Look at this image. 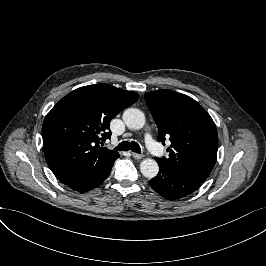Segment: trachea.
<instances>
[{"label": "trachea", "instance_id": "3493384b", "mask_svg": "<svg viewBox=\"0 0 266 266\" xmlns=\"http://www.w3.org/2000/svg\"><path fill=\"white\" fill-rule=\"evenodd\" d=\"M114 149L117 151L132 150L133 152L141 153L140 146L136 142L124 141L120 143L119 145H117Z\"/></svg>", "mask_w": 266, "mask_h": 266}]
</instances>
